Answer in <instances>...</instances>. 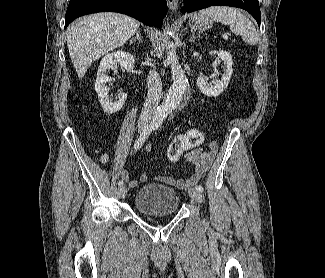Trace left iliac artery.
I'll list each match as a JSON object with an SVG mask.
<instances>
[{"label":"left iliac artery","mask_w":325,"mask_h":278,"mask_svg":"<svg viewBox=\"0 0 325 278\" xmlns=\"http://www.w3.org/2000/svg\"><path fill=\"white\" fill-rule=\"evenodd\" d=\"M156 128H158V127H156ZM195 189L198 190V191H200V192H202L204 190L201 185H196L195 186Z\"/></svg>","instance_id":"1"}]
</instances>
